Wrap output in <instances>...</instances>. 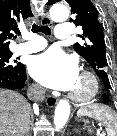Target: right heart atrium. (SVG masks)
Masks as SVG:
<instances>
[{
  "label": "right heart atrium",
  "mask_w": 117,
  "mask_h": 136,
  "mask_svg": "<svg viewBox=\"0 0 117 136\" xmlns=\"http://www.w3.org/2000/svg\"><path fill=\"white\" fill-rule=\"evenodd\" d=\"M31 91H32L33 94H40L41 93V90L37 85H32Z\"/></svg>",
  "instance_id": "right-heart-atrium-1"
}]
</instances>
